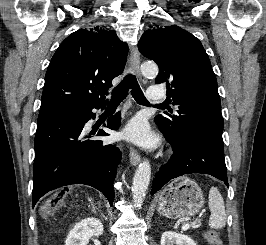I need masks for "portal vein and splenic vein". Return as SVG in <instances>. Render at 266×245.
<instances>
[{
    "instance_id": "obj_1",
    "label": "portal vein and splenic vein",
    "mask_w": 266,
    "mask_h": 245,
    "mask_svg": "<svg viewBox=\"0 0 266 245\" xmlns=\"http://www.w3.org/2000/svg\"><path fill=\"white\" fill-rule=\"evenodd\" d=\"M191 225H189V223H187V225H183L182 227V231H188V229H190Z\"/></svg>"
}]
</instances>
